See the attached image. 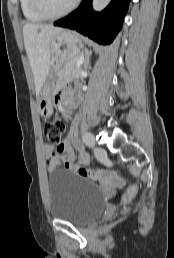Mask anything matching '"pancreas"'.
<instances>
[{"label": "pancreas", "mask_w": 174, "mask_h": 258, "mask_svg": "<svg viewBox=\"0 0 174 258\" xmlns=\"http://www.w3.org/2000/svg\"><path fill=\"white\" fill-rule=\"evenodd\" d=\"M80 56H77L69 61H67L57 73L56 85H62L63 83L79 78L80 72L82 70L81 66H77Z\"/></svg>", "instance_id": "obj_1"}]
</instances>
